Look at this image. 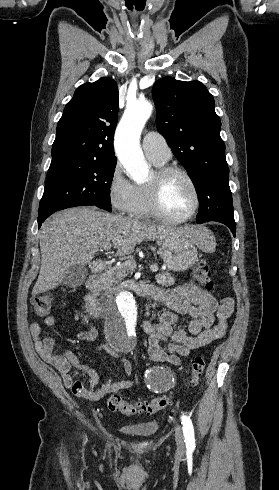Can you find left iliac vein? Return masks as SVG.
I'll list each match as a JSON object with an SVG mask.
<instances>
[{"label": "left iliac vein", "mask_w": 279, "mask_h": 490, "mask_svg": "<svg viewBox=\"0 0 279 490\" xmlns=\"http://www.w3.org/2000/svg\"><path fill=\"white\" fill-rule=\"evenodd\" d=\"M175 440H176V445H177V451L179 453H183L185 451L184 437H183L182 428L179 425H176V428H175Z\"/></svg>", "instance_id": "4c4485c4"}]
</instances>
